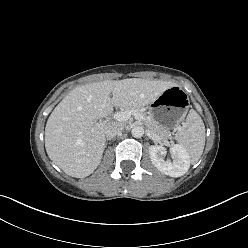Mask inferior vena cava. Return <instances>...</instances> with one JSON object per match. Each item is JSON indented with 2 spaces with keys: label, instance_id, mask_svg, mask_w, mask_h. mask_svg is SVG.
<instances>
[{
  "label": "inferior vena cava",
  "instance_id": "602c4592",
  "mask_svg": "<svg viewBox=\"0 0 248 248\" xmlns=\"http://www.w3.org/2000/svg\"><path fill=\"white\" fill-rule=\"evenodd\" d=\"M123 126L119 123H109L106 125L104 133L107 138H113L123 131Z\"/></svg>",
  "mask_w": 248,
  "mask_h": 248
}]
</instances>
